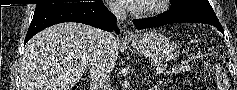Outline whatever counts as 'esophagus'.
Returning <instances> with one entry per match:
<instances>
[{"label":"esophagus","instance_id":"esophagus-1","mask_svg":"<svg viewBox=\"0 0 237 90\" xmlns=\"http://www.w3.org/2000/svg\"><path fill=\"white\" fill-rule=\"evenodd\" d=\"M134 38H135V36H134L133 32H130V31H125L124 32V35H123V40L124 41H131Z\"/></svg>","mask_w":237,"mask_h":90}]
</instances>
